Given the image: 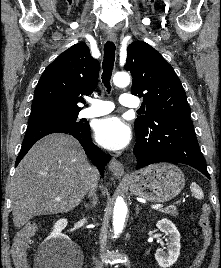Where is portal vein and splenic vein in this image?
Listing matches in <instances>:
<instances>
[{"label":"portal vein and splenic vein","mask_w":221,"mask_h":268,"mask_svg":"<svg viewBox=\"0 0 221 268\" xmlns=\"http://www.w3.org/2000/svg\"><path fill=\"white\" fill-rule=\"evenodd\" d=\"M162 207H163V205H161V204H155V205L151 206L152 209H156V210L161 209Z\"/></svg>","instance_id":"18ae733b"}]
</instances>
